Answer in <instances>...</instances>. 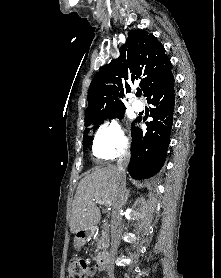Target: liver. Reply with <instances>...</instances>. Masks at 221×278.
Returning a JSON list of instances; mask_svg holds the SVG:
<instances>
[{"instance_id":"1","label":"liver","mask_w":221,"mask_h":278,"mask_svg":"<svg viewBox=\"0 0 221 278\" xmlns=\"http://www.w3.org/2000/svg\"><path fill=\"white\" fill-rule=\"evenodd\" d=\"M119 181L120 172L113 165L98 168L80 181L72 205V233L94 229L101 219L97 200H110L113 205Z\"/></svg>"}]
</instances>
